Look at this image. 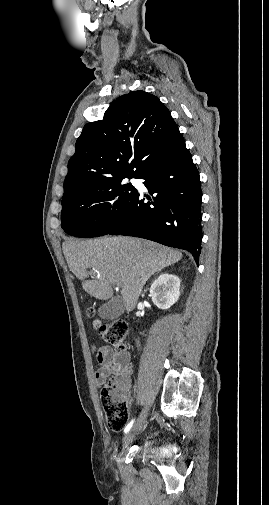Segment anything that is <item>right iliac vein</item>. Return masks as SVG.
I'll list each match as a JSON object with an SVG mask.
<instances>
[{"label":"right iliac vein","mask_w":269,"mask_h":505,"mask_svg":"<svg viewBox=\"0 0 269 505\" xmlns=\"http://www.w3.org/2000/svg\"><path fill=\"white\" fill-rule=\"evenodd\" d=\"M147 413H148V407H144V409L142 410L137 422L134 424V426L127 432V434L125 435V437L123 438V446L124 447H127L129 445V443L132 442L135 434L137 433V431L144 425L145 423V420H146V417H147Z\"/></svg>","instance_id":"63e3f726"}]
</instances>
